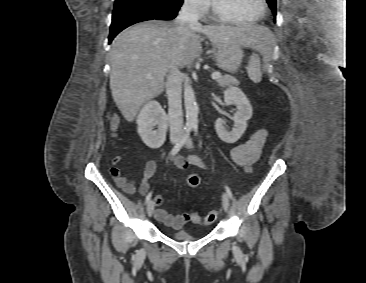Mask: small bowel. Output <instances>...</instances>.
I'll return each mask as SVG.
<instances>
[{"label":"small bowel","instance_id":"c3829d8e","mask_svg":"<svg viewBox=\"0 0 366 283\" xmlns=\"http://www.w3.org/2000/svg\"><path fill=\"white\" fill-rule=\"evenodd\" d=\"M266 136L267 133L264 129L255 131L248 140L236 145L230 150L228 154L229 160L234 165L245 167L247 170H249L260 157ZM172 160L175 166L182 170L186 169L189 164L198 167L206 166L204 161L197 155H189L187 157L176 156L172 158ZM120 161V156L113 158V165L110 168V174L117 186L126 194L131 195L136 190V183L134 180L122 175L120 168L117 166ZM156 170L157 164L154 160H149L146 162L143 170V179L139 185V192L142 195H145L149 191L148 180L155 175ZM154 203L155 206H160L163 203V198L161 196H155ZM155 218L159 222L173 229H180L187 220L185 215H172L162 208L155 210Z\"/></svg>","mask_w":366,"mask_h":283}]
</instances>
